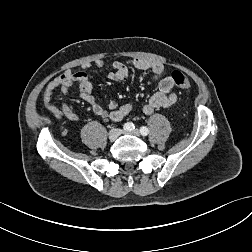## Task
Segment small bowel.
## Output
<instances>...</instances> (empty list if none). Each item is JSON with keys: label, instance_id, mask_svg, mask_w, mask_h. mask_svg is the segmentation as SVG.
<instances>
[{"label": "small bowel", "instance_id": "1", "mask_svg": "<svg viewBox=\"0 0 252 252\" xmlns=\"http://www.w3.org/2000/svg\"><path fill=\"white\" fill-rule=\"evenodd\" d=\"M95 65L98 68H102L104 63L102 60H96ZM130 65L139 70L149 71L151 78L157 82L158 91L142 107L144 114L150 115L156 109L168 108L177 102L178 97L174 92V82L171 76L167 75V69L163 64L135 58L130 61ZM90 68V63H84L81 71H65L52 80L45 88L43 95L46 109L56 117L65 118L71 122H78L79 116L67 104L62 103L58 107L51 104L55 90L60 89L62 94L68 95L72 85L76 84L79 97L89 105L94 114L113 121H121L132 111L133 103L119 105L115 101H110L107 108L102 107L92 94L93 84L89 75ZM112 68L107 75L108 79L121 82L127 78L128 66L126 64L116 61L113 63Z\"/></svg>", "mask_w": 252, "mask_h": 252}]
</instances>
